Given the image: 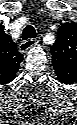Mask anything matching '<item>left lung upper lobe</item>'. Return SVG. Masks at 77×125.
<instances>
[{
  "mask_svg": "<svg viewBox=\"0 0 77 125\" xmlns=\"http://www.w3.org/2000/svg\"><path fill=\"white\" fill-rule=\"evenodd\" d=\"M51 54L53 65L77 68V24L65 23L58 29V37L51 47Z\"/></svg>",
  "mask_w": 77,
  "mask_h": 125,
  "instance_id": "obj_1",
  "label": "left lung upper lobe"
}]
</instances>
